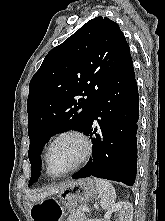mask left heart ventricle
Returning <instances> with one entry per match:
<instances>
[{
  "instance_id": "obj_1",
  "label": "left heart ventricle",
  "mask_w": 165,
  "mask_h": 221,
  "mask_svg": "<svg viewBox=\"0 0 165 221\" xmlns=\"http://www.w3.org/2000/svg\"><path fill=\"white\" fill-rule=\"evenodd\" d=\"M82 154L81 142L73 136L56 141L49 152V163L53 171L62 172L71 168Z\"/></svg>"
}]
</instances>
